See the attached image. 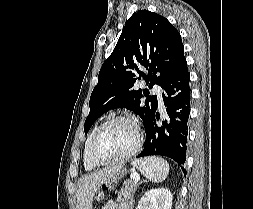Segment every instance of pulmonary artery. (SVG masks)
Segmentation results:
<instances>
[{
  "instance_id": "e3ab8cb5",
  "label": "pulmonary artery",
  "mask_w": 253,
  "mask_h": 209,
  "mask_svg": "<svg viewBox=\"0 0 253 209\" xmlns=\"http://www.w3.org/2000/svg\"><path fill=\"white\" fill-rule=\"evenodd\" d=\"M153 93L156 94L158 96V99L160 101V107L163 108V104H162V98H161V88L158 85H154L153 87Z\"/></svg>"
}]
</instances>
